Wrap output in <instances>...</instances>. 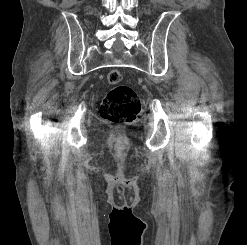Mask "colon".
<instances>
[{"mask_svg": "<svg viewBox=\"0 0 247 245\" xmlns=\"http://www.w3.org/2000/svg\"><path fill=\"white\" fill-rule=\"evenodd\" d=\"M107 81L114 86L103 99L101 117L111 123H129L138 116L141 104L133 88L120 84L122 74L117 69H111Z\"/></svg>", "mask_w": 247, "mask_h": 245, "instance_id": "1", "label": "colon"}]
</instances>
